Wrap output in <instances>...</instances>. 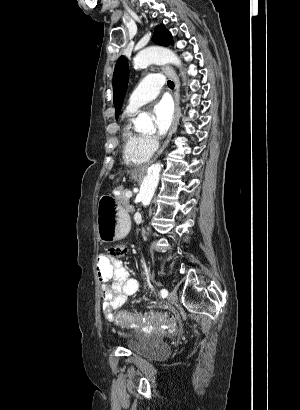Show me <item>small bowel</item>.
Segmentation results:
<instances>
[{
	"mask_svg": "<svg viewBox=\"0 0 300 410\" xmlns=\"http://www.w3.org/2000/svg\"><path fill=\"white\" fill-rule=\"evenodd\" d=\"M96 269L103 298L102 312L111 320L126 299L137 292L138 282L120 260L108 254L98 255ZM147 331H150L148 327Z\"/></svg>",
	"mask_w": 300,
	"mask_h": 410,
	"instance_id": "1",
	"label": "small bowel"
}]
</instances>
